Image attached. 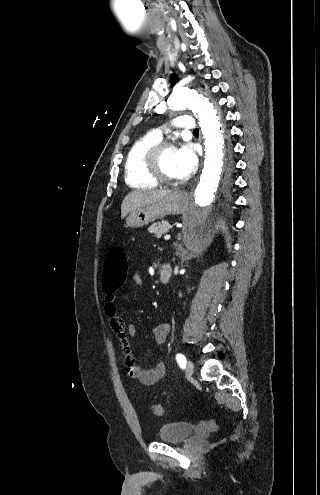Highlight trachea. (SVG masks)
Instances as JSON below:
<instances>
[{
  "mask_svg": "<svg viewBox=\"0 0 320 495\" xmlns=\"http://www.w3.org/2000/svg\"><path fill=\"white\" fill-rule=\"evenodd\" d=\"M198 132H199V129H197V128L193 130V133H198Z\"/></svg>",
  "mask_w": 320,
  "mask_h": 495,
  "instance_id": "obj_1",
  "label": "trachea"
}]
</instances>
